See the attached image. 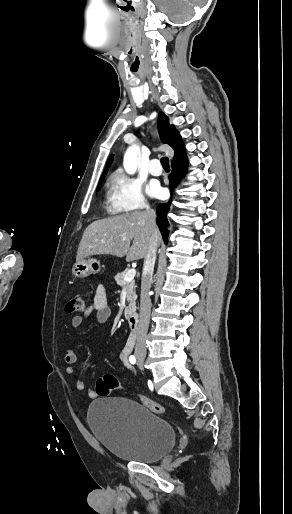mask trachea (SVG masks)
I'll return each mask as SVG.
<instances>
[{"mask_svg":"<svg viewBox=\"0 0 292 514\" xmlns=\"http://www.w3.org/2000/svg\"><path fill=\"white\" fill-rule=\"evenodd\" d=\"M161 165H162L164 170H170V165H169L168 157H162L161 158Z\"/></svg>","mask_w":292,"mask_h":514,"instance_id":"1","label":"trachea"}]
</instances>
